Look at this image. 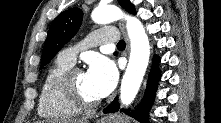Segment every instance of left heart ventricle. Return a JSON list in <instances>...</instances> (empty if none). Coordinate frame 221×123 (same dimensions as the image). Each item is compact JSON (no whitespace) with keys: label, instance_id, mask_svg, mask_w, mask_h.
I'll return each mask as SVG.
<instances>
[{"label":"left heart ventricle","instance_id":"left-heart-ventricle-1","mask_svg":"<svg viewBox=\"0 0 221 123\" xmlns=\"http://www.w3.org/2000/svg\"><path fill=\"white\" fill-rule=\"evenodd\" d=\"M76 86L81 95L90 101L98 100L100 97L95 92L87 74L85 72L80 73L76 76Z\"/></svg>","mask_w":221,"mask_h":123}]
</instances>
